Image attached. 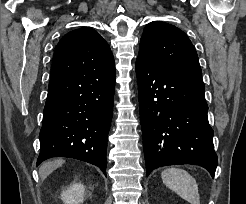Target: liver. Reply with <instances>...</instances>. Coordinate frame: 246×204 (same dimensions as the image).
<instances>
[{
  "label": "liver",
  "mask_w": 246,
  "mask_h": 204,
  "mask_svg": "<svg viewBox=\"0 0 246 204\" xmlns=\"http://www.w3.org/2000/svg\"><path fill=\"white\" fill-rule=\"evenodd\" d=\"M65 161L62 159H57L52 162H46L41 165L39 169V176L42 181H44L55 169L62 166Z\"/></svg>",
  "instance_id": "obj_1"
}]
</instances>
